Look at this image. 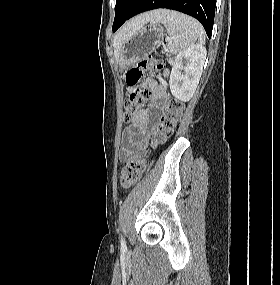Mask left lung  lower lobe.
<instances>
[{"mask_svg":"<svg viewBox=\"0 0 280 285\" xmlns=\"http://www.w3.org/2000/svg\"><path fill=\"white\" fill-rule=\"evenodd\" d=\"M215 6L216 0H139L129 18L157 8L177 10L199 20L210 38L214 22Z\"/></svg>","mask_w":280,"mask_h":285,"instance_id":"1","label":"left lung lower lobe"}]
</instances>
